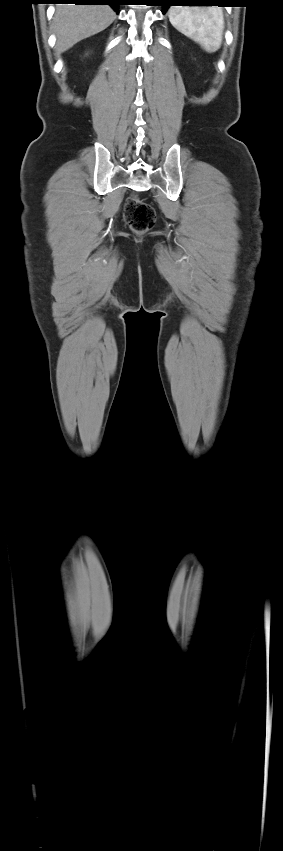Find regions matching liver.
Here are the masks:
<instances>
[{"instance_id":"1","label":"liver","mask_w":283,"mask_h":851,"mask_svg":"<svg viewBox=\"0 0 283 851\" xmlns=\"http://www.w3.org/2000/svg\"><path fill=\"white\" fill-rule=\"evenodd\" d=\"M116 18L108 5H59L53 18L56 51L63 53L83 39L105 30Z\"/></svg>"}]
</instances>
